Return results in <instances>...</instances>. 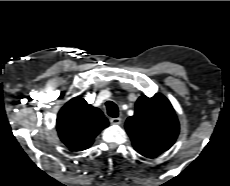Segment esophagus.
I'll return each mask as SVG.
<instances>
[{"instance_id": "34e87169", "label": "esophagus", "mask_w": 230, "mask_h": 186, "mask_svg": "<svg viewBox=\"0 0 230 186\" xmlns=\"http://www.w3.org/2000/svg\"><path fill=\"white\" fill-rule=\"evenodd\" d=\"M121 121H122V119L120 117H116V118H111L110 119V122L113 125H119V124H121Z\"/></svg>"}]
</instances>
